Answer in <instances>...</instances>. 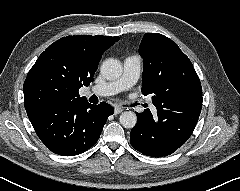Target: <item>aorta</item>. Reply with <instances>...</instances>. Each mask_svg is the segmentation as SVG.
I'll list each match as a JSON object with an SVG mask.
<instances>
[{
	"label": "aorta",
	"mask_w": 240,
	"mask_h": 191,
	"mask_svg": "<svg viewBox=\"0 0 240 191\" xmlns=\"http://www.w3.org/2000/svg\"><path fill=\"white\" fill-rule=\"evenodd\" d=\"M101 74L107 80H115L122 75L123 67L119 60L106 59L101 65ZM120 124L125 128H133L137 123V116L132 111H124L119 118Z\"/></svg>",
	"instance_id": "762f6f07"
}]
</instances>
